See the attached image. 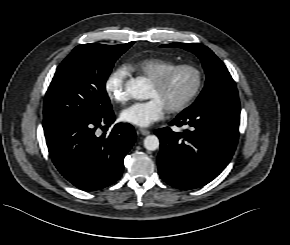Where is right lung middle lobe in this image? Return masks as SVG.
I'll list each match as a JSON object with an SVG mask.
<instances>
[{
  "label": "right lung middle lobe",
  "mask_w": 290,
  "mask_h": 245,
  "mask_svg": "<svg viewBox=\"0 0 290 245\" xmlns=\"http://www.w3.org/2000/svg\"><path fill=\"white\" fill-rule=\"evenodd\" d=\"M133 44L92 43L74 48L57 68L47 90L43 123L102 118L110 112L106 80L115 61Z\"/></svg>",
  "instance_id": "right-lung-middle-lobe-1"
}]
</instances>
